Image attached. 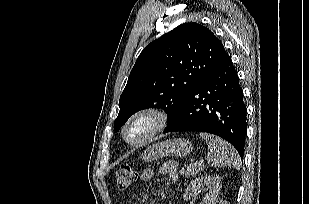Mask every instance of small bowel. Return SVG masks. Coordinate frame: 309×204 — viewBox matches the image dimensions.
I'll use <instances>...</instances> for the list:
<instances>
[{"mask_svg":"<svg viewBox=\"0 0 309 204\" xmlns=\"http://www.w3.org/2000/svg\"><path fill=\"white\" fill-rule=\"evenodd\" d=\"M162 170L165 174L175 179L177 177L178 165L174 161H169L163 165ZM153 177H154V170L151 168L146 169L142 176L144 181H148L152 179Z\"/></svg>","mask_w":309,"mask_h":204,"instance_id":"small-bowel-1","label":"small bowel"}]
</instances>
